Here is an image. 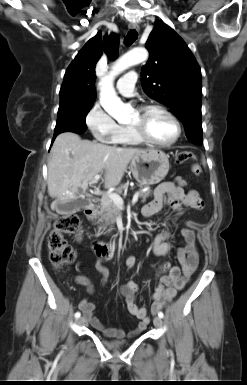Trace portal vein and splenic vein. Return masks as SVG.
Segmentation results:
<instances>
[{
  "label": "portal vein and splenic vein",
  "instance_id": "18ae733b",
  "mask_svg": "<svg viewBox=\"0 0 247 385\" xmlns=\"http://www.w3.org/2000/svg\"><path fill=\"white\" fill-rule=\"evenodd\" d=\"M101 178L100 175H96L94 177V180L92 181V183H96L98 182V180ZM95 194L97 195H104L108 198H110L117 206L119 207H123L124 205V201L123 199L121 198L120 195H118L117 193H113V192H99L98 190L95 191ZM138 197H139V192H136L133 196V199L132 201L133 202H136L138 200Z\"/></svg>",
  "mask_w": 247,
  "mask_h": 385
}]
</instances>
